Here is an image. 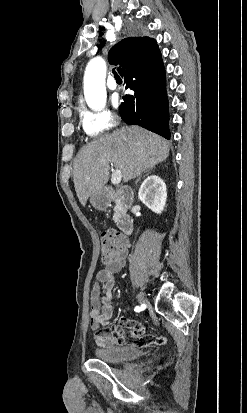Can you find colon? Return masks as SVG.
<instances>
[{"instance_id": "colon-1", "label": "colon", "mask_w": 247, "mask_h": 413, "mask_svg": "<svg viewBox=\"0 0 247 413\" xmlns=\"http://www.w3.org/2000/svg\"><path fill=\"white\" fill-rule=\"evenodd\" d=\"M124 247V237L112 232L103 233L101 236L100 258L107 260L109 257H121Z\"/></svg>"}]
</instances>
